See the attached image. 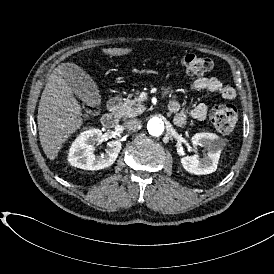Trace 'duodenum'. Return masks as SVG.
Listing matches in <instances>:
<instances>
[{
    "mask_svg": "<svg viewBox=\"0 0 274 274\" xmlns=\"http://www.w3.org/2000/svg\"><path fill=\"white\" fill-rule=\"evenodd\" d=\"M121 100L113 96L108 102V112L102 116L101 122L106 129H115L119 124V108Z\"/></svg>",
    "mask_w": 274,
    "mask_h": 274,
    "instance_id": "1",
    "label": "duodenum"
}]
</instances>
